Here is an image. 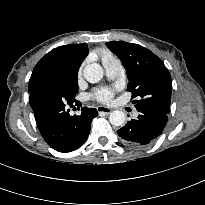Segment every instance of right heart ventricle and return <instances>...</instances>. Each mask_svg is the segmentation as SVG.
Segmentation results:
<instances>
[{"instance_id":"e07e8e85","label":"right heart ventricle","mask_w":205,"mask_h":205,"mask_svg":"<svg viewBox=\"0 0 205 205\" xmlns=\"http://www.w3.org/2000/svg\"><path fill=\"white\" fill-rule=\"evenodd\" d=\"M96 54L100 58L103 66L109 64L114 60H117L112 53L104 49L98 50Z\"/></svg>"}]
</instances>
